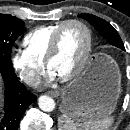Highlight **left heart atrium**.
I'll list each match as a JSON object with an SVG mask.
<instances>
[{"label": "left heart atrium", "instance_id": "39dd6f15", "mask_svg": "<svg viewBox=\"0 0 130 130\" xmlns=\"http://www.w3.org/2000/svg\"><path fill=\"white\" fill-rule=\"evenodd\" d=\"M49 71H50V70H49ZM49 75H50V79H51V80L57 78V76H56L52 71L49 72Z\"/></svg>", "mask_w": 130, "mask_h": 130}]
</instances>
